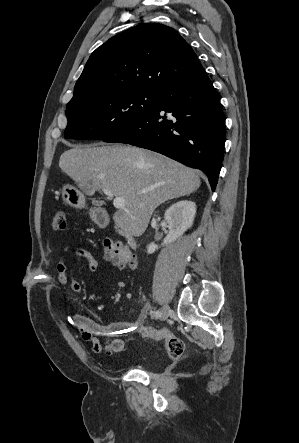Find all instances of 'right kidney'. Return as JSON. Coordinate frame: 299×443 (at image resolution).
<instances>
[{
  "mask_svg": "<svg viewBox=\"0 0 299 443\" xmlns=\"http://www.w3.org/2000/svg\"><path fill=\"white\" fill-rule=\"evenodd\" d=\"M195 213L196 204L189 200H182L170 206L164 215L168 223L169 233L161 245H168L182 236L183 233L192 226ZM156 249H158V246L151 243L147 247V253L152 254Z\"/></svg>",
  "mask_w": 299,
  "mask_h": 443,
  "instance_id": "1",
  "label": "right kidney"
}]
</instances>
